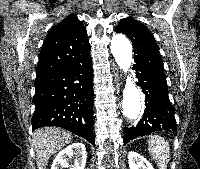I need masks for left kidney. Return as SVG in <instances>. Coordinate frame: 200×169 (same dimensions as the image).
I'll return each instance as SVG.
<instances>
[{"label":"left kidney","instance_id":"obj_1","mask_svg":"<svg viewBox=\"0 0 200 169\" xmlns=\"http://www.w3.org/2000/svg\"><path fill=\"white\" fill-rule=\"evenodd\" d=\"M128 163L130 169H154L146 158L134 151L129 152Z\"/></svg>","mask_w":200,"mask_h":169}]
</instances>
